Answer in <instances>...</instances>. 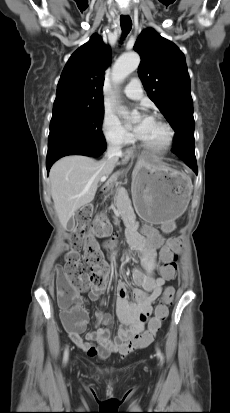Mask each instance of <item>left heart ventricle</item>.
<instances>
[{"instance_id": "obj_1", "label": "left heart ventricle", "mask_w": 230, "mask_h": 413, "mask_svg": "<svg viewBox=\"0 0 230 413\" xmlns=\"http://www.w3.org/2000/svg\"><path fill=\"white\" fill-rule=\"evenodd\" d=\"M165 137L166 131L163 126L159 122L151 120L149 127L140 138L148 143L159 144Z\"/></svg>"}]
</instances>
